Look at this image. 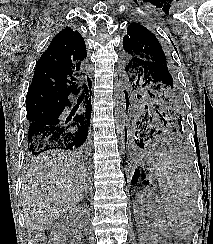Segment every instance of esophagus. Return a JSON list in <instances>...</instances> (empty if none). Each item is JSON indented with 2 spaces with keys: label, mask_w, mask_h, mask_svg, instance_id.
Segmentation results:
<instances>
[{
  "label": "esophagus",
  "mask_w": 213,
  "mask_h": 244,
  "mask_svg": "<svg viewBox=\"0 0 213 244\" xmlns=\"http://www.w3.org/2000/svg\"><path fill=\"white\" fill-rule=\"evenodd\" d=\"M90 79H91V76L90 74H88V78H87V83L90 84ZM92 80V79H91Z\"/></svg>",
  "instance_id": "esophagus-1"
}]
</instances>
